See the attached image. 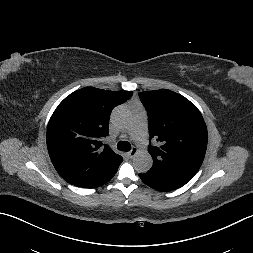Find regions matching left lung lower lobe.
<instances>
[{
  "mask_svg": "<svg viewBox=\"0 0 253 253\" xmlns=\"http://www.w3.org/2000/svg\"><path fill=\"white\" fill-rule=\"evenodd\" d=\"M139 177L146 185L158 191H171L182 187L188 182L178 178L160 176L150 173L139 174Z\"/></svg>",
  "mask_w": 253,
  "mask_h": 253,
  "instance_id": "1",
  "label": "left lung lower lobe"
}]
</instances>
